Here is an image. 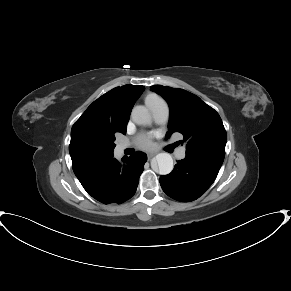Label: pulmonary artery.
Here are the masks:
<instances>
[{"mask_svg": "<svg viewBox=\"0 0 291 291\" xmlns=\"http://www.w3.org/2000/svg\"><path fill=\"white\" fill-rule=\"evenodd\" d=\"M149 109L152 112L154 121L157 124H163L167 121L169 116V106L164 99H158L148 104ZM129 147V143H122L117 146V152L120 153ZM185 147H181L176 152V157L182 159L185 156Z\"/></svg>", "mask_w": 291, "mask_h": 291, "instance_id": "obj_1", "label": "pulmonary artery"}]
</instances>
